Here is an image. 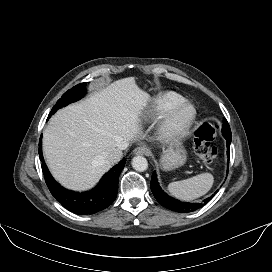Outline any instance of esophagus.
Segmentation results:
<instances>
[{
    "label": "esophagus",
    "instance_id": "obj_1",
    "mask_svg": "<svg viewBox=\"0 0 272 272\" xmlns=\"http://www.w3.org/2000/svg\"><path fill=\"white\" fill-rule=\"evenodd\" d=\"M149 153V149L145 146H138L134 149V154L136 155H147Z\"/></svg>",
    "mask_w": 272,
    "mask_h": 272
}]
</instances>
